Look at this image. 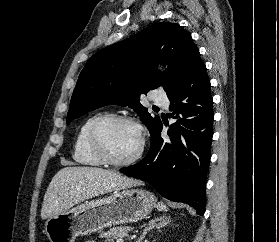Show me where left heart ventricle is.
Returning a JSON list of instances; mask_svg holds the SVG:
<instances>
[{
	"instance_id": "left-heart-ventricle-1",
	"label": "left heart ventricle",
	"mask_w": 279,
	"mask_h": 242,
	"mask_svg": "<svg viewBox=\"0 0 279 242\" xmlns=\"http://www.w3.org/2000/svg\"><path fill=\"white\" fill-rule=\"evenodd\" d=\"M103 137L109 153L118 160L130 158L139 145L138 131L130 124H113L105 129Z\"/></svg>"
}]
</instances>
